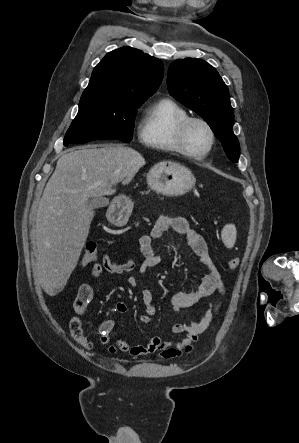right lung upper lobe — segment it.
<instances>
[{
    "mask_svg": "<svg viewBox=\"0 0 299 443\" xmlns=\"http://www.w3.org/2000/svg\"><path fill=\"white\" fill-rule=\"evenodd\" d=\"M163 73L159 59L135 48L122 47L109 52L96 65L82 95L146 101L158 89Z\"/></svg>",
    "mask_w": 299,
    "mask_h": 443,
    "instance_id": "obj_1",
    "label": "right lung upper lobe"
}]
</instances>
